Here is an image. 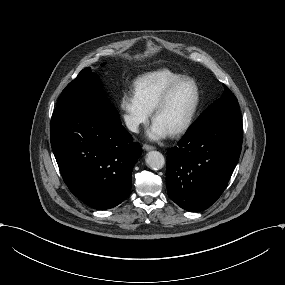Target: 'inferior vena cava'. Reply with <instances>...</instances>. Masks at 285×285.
I'll return each mask as SVG.
<instances>
[{
  "label": "inferior vena cava",
  "mask_w": 285,
  "mask_h": 285,
  "mask_svg": "<svg viewBox=\"0 0 285 285\" xmlns=\"http://www.w3.org/2000/svg\"><path fill=\"white\" fill-rule=\"evenodd\" d=\"M124 119L129 130L132 132H138L139 121L135 117L131 115H125Z\"/></svg>",
  "instance_id": "1"
}]
</instances>
